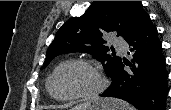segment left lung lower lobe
<instances>
[{"instance_id":"0a47b994","label":"left lung lower lobe","mask_w":171,"mask_h":110,"mask_svg":"<svg viewBox=\"0 0 171 110\" xmlns=\"http://www.w3.org/2000/svg\"><path fill=\"white\" fill-rule=\"evenodd\" d=\"M127 42L133 60L124 63L131 69L124 70L121 60L111 77L112 84L101 96L126 100L139 110H165L168 72L157 29L149 16Z\"/></svg>"}]
</instances>
